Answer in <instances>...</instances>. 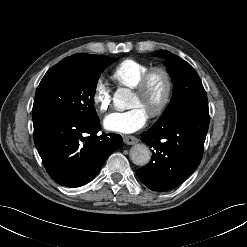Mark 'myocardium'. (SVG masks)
<instances>
[{"label":"myocardium","mask_w":247,"mask_h":247,"mask_svg":"<svg viewBox=\"0 0 247 247\" xmlns=\"http://www.w3.org/2000/svg\"><path fill=\"white\" fill-rule=\"evenodd\" d=\"M155 75H161L164 78L165 91L161 102L158 104V106L155 109H153L149 113V116L151 118L160 116L166 110L167 106L171 101L174 90V82L170 72L162 67L151 68L140 78L138 83L133 88L136 94L140 96L145 95L150 85V82Z\"/></svg>","instance_id":"f54148a6"}]
</instances>
